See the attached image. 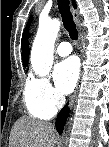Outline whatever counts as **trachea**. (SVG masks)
<instances>
[{"instance_id":"1","label":"trachea","mask_w":109,"mask_h":147,"mask_svg":"<svg viewBox=\"0 0 109 147\" xmlns=\"http://www.w3.org/2000/svg\"><path fill=\"white\" fill-rule=\"evenodd\" d=\"M58 9L65 29L68 31L71 39L76 40L78 38V32L70 12L69 0H58Z\"/></svg>"}]
</instances>
